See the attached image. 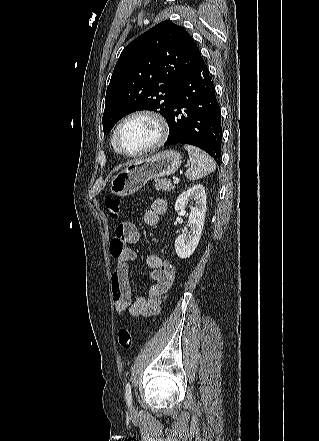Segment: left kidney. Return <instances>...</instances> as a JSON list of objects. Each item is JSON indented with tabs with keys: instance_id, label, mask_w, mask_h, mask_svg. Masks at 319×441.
<instances>
[{
	"instance_id": "5707ae66",
	"label": "left kidney",
	"mask_w": 319,
	"mask_h": 441,
	"mask_svg": "<svg viewBox=\"0 0 319 441\" xmlns=\"http://www.w3.org/2000/svg\"><path fill=\"white\" fill-rule=\"evenodd\" d=\"M189 202L193 203L187 224L189 230L175 240V250L181 259L192 255L202 234L206 213V193L202 184L194 185L183 192L176 200L175 211L184 210Z\"/></svg>"
}]
</instances>
